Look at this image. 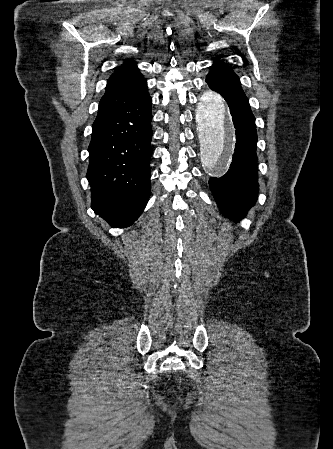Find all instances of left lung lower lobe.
<instances>
[{
  "label": "left lung lower lobe",
  "mask_w": 333,
  "mask_h": 449,
  "mask_svg": "<svg viewBox=\"0 0 333 449\" xmlns=\"http://www.w3.org/2000/svg\"><path fill=\"white\" fill-rule=\"evenodd\" d=\"M206 82L224 97L236 129L230 169L222 177H211L209 185L223 215L238 221L254 205L258 193L255 118L239 78L210 71Z\"/></svg>",
  "instance_id": "left-lung-lower-lobe-1"
}]
</instances>
